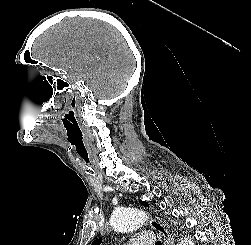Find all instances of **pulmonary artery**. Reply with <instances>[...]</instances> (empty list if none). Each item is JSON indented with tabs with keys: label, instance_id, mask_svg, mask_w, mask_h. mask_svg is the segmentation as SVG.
<instances>
[{
	"label": "pulmonary artery",
	"instance_id": "e3ab8cb5",
	"mask_svg": "<svg viewBox=\"0 0 251 245\" xmlns=\"http://www.w3.org/2000/svg\"><path fill=\"white\" fill-rule=\"evenodd\" d=\"M154 236L153 232H142L133 237L129 245H153Z\"/></svg>",
	"mask_w": 251,
	"mask_h": 245
}]
</instances>
